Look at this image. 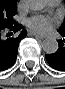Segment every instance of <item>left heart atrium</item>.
I'll return each mask as SVG.
<instances>
[{"mask_svg":"<svg viewBox=\"0 0 65 89\" xmlns=\"http://www.w3.org/2000/svg\"><path fill=\"white\" fill-rule=\"evenodd\" d=\"M55 21L48 16H33L26 21L30 31L36 34H47L51 31Z\"/></svg>","mask_w":65,"mask_h":89,"instance_id":"1","label":"left heart atrium"}]
</instances>
